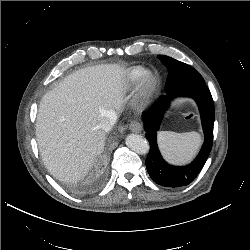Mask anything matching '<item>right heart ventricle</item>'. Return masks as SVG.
I'll use <instances>...</instances> for the list:
<instances>
[{"label":"right heart ventricle","instance_id":"e07e8e85","mask_svg":"<svg viewBox=\"0 0 250 250\" xmlns=\"http://www.w3.org/2000/svg\"><path fill=\"white\" fill-rule=\"evenodd\" d=\"M145 72V69L141 66H134L129 68L124 75V82L126 86H131L138 82L140 77Z\"/></svg>","mask_w":250,"mask_h":250}]
</instances>
